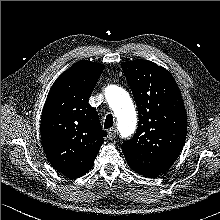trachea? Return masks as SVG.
Masks as SVG:
<instances>
[{"label":"trachea","instance_id":"trachea-1","mask_svg":"<svg viewBox=\"0 0 220 220\" xmlns=\"http://www.w3.org/2000/svg\"><path fill=\"white\" fill-rule=\"evenodd\" d=\"M114 122H113V115L112 114H108L106 116V119H105V124H104V128L105 129H109L113 126Z\"/></svg>","mask_w":220,"mask_h":220}]
</instances>
